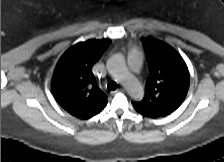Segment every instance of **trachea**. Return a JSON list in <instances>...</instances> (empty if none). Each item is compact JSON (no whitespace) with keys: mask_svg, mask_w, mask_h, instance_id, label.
<instances>
[{"mask_svg":"<svg viewBox=\"0 0 224 162\" xmlns=\"http://www.w3.org/2000/svg\"><path fill=\"white\" fill-rule=\"evenodd\" d=\"M107 89H108V91L116 90V89H117V83L114 82V81H110V82L107 84Z\"/></svg>","mask_w":224,"mask_h":162,"instance_id":"3493384b","label":"trachea"}]
</instances>
